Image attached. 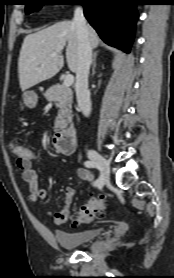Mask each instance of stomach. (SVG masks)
<instances>
[{
  "label": "stomach",
  "mask_w": 174,
  "mask_h": 278,
  "mask_svg": "<svg viewBox=\"0 0 174 278\" xmlns=\"http://www.w3.org/2000/svg\"><path fill=\"white\" fill-rule=\"evenodd\" d=\"M24 104L29 108H34L37 104L38 97L35 92L27 91L23 93Z\"/></svg>",
  "instance_id": "stomach-1"
}]
</instances>
